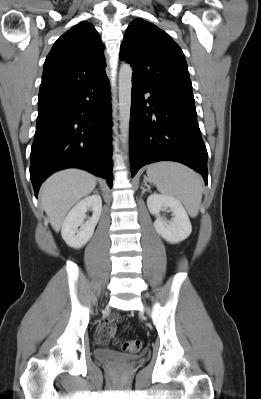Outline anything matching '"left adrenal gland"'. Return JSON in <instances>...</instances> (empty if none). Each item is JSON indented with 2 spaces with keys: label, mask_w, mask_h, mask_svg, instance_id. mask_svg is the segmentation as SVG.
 <instances>
[{
  "label": "left adrenal gland",
  "mask_w": 261,
  "mask_h": 399,
  "mask_svg": "<svg viewBox=\"0 0 261 399\" xmlns=\"http://www.w3.org/2000/svg\"><path fill=\"white\" fill-rule=\"evenodd\" d=\"M144 185L147 187V189H145V187L141 186L142 193H144L145 191H150V186L147 185V182H146V181L144 182Z\"/></svg>",
  "instance_id": "obj_1"
}]
</instances>
